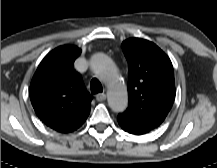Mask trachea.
<instances>
[{"label": "trachea", "mask_w": 217, "mask_h": 168, "mask_svg": "<svg viewBox=\"0 0 217 168\" xmlns=\"http://www.w3.org/2000/svg\"><path fill=\"white\" fill-rule=\"evenodd\" d=\"M91 93L97 94L103 91L102 85L100 81L96 78H93L90 82Z\"/></svg>", "instance_id": "3493384b"}]
</instances>
